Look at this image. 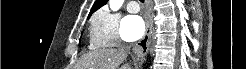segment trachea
I'll return each instance as SVG.
<instances>
[{
    "mask_svg": "<svg viewBox=\"0 0 246 69\" xmlns=\"http://www.w3.org/2000/svg\"><path fill=\"white\" fill-rule=\"evenodd\" d=\"M142 3H144V0H140Z\"/></svg>",
    "mask_w": 246,
    "mask_h": 69,
    "instance_id": "trachea-1",
    "label": "trachea"
}]
</instances>
